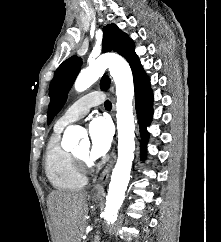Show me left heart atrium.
Masks as SVG:
<instances>
[{
	"instance_id": "obj_1",
	"label": "left heart atrium",
	"mask_w": 221,
	"mask_h": 242,
	"mask_svg": "<svg viewBox=\"0 0 221 242\" xmlns=\"http://www.w3.org/2000/svg\"><path fill=\"white\" fill-rule=\"evenodd\" d=\"M90 137L89 156L97 159L104 155L110 148L112 142V127L107 119L97 117L91 120L88 125Z\"/></svg>"
}]
</instances>
